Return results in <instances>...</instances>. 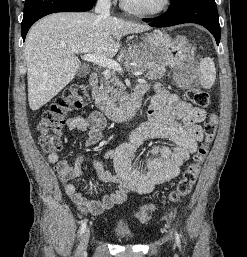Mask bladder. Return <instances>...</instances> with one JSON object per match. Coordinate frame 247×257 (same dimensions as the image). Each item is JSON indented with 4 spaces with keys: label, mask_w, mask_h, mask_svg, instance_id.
<instances>
[{
    "label": "bladder",
    "mask_w": 247,
    "mask_h": 257,
    "mask_svg": "<svg viewBox=\"0 0 247 257\" xmlns=\"http://www.w3.org/2000/svg\"><path fill=\"white\" fill-rule=\"evenodd\" d=\"M114 233L115 236L121 240H128L132 238V234L124 227H117Z\"/></svg>",
    "instance_id": "1"
}]
</instances>
